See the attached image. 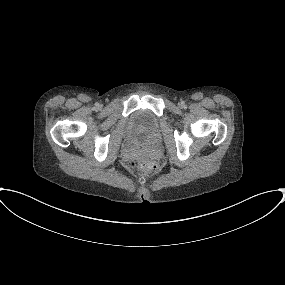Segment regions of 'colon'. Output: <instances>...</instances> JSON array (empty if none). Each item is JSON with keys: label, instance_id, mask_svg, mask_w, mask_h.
Listing matches in <instances>:
<instances>
[{"label": "colon", "instance_id": "5ec220e1", "mask_svg": "<svg viewBox=\"0 0 285 285\" xmlns=\"http://www.w3.org/2000/svg\"><path fill=\"white\" fill-rule=\"evenodd\" d=\"M130 168L140 169L148 172L156 171L159 168L158 161L150 154L145 155L129 163Z\"/></svg>", "mask_w": 285, "mask_h": 285}]
</instances>
